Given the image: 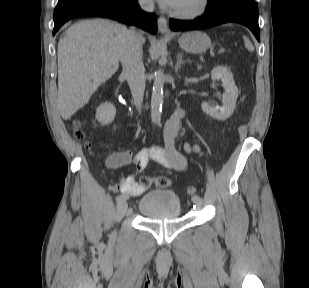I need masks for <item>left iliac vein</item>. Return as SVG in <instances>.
Here are the masks:
<instances>
[{
    "label": "left iliac vein",
    "mask_w": 309,
    "mask_h": 288,
    "mask_svg": "<svg viewBox=\"0 0 309 288\" xmlns=\"http://www.w3.org/2000/svg\"><path fill=\"white\" fill-rule=\"evenodd\" d=\"M193 203L198 206V207H201L202 206V200L201 199H197V200H194Z\"/></svg>",
    "instance_id": "4c4485c4"
}]
</instances>
